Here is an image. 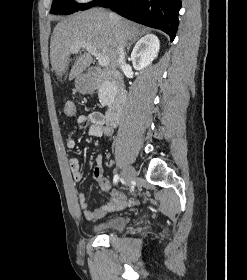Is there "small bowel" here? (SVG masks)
Segmentation results:
<instances>
[{"mask_svg": "<svg viewBox=\"0 0 247 280\" xmlns=\"http://www.w3.org/2000/svg\"><path fill=\"white\" fill-rule=\"evenodd\" d=\"M74 123L79 127L87 129L89 135L94 137L111 136L113 134L112 128L108 126L104 114L101 112H90L88 114L79 115L74 120ZM76 146V139L73 134H70L66 140V147L73 149ZM70 169L74 181L81 182L84 178L83 169L75 156H71ZM96 166L93 170L94 179L97 181L102 191L108 192L109 197L99 207L90 209L89 204L84 193H78L77 199L79 206L83 212L85 219L91 221L104 217L110 212L123 209L133 201L128 202L126 198L118 191L111 189L110 181L103 175L102 156L96 157Z\"/></svg>", "mask_w": 247, "mask_h": 280, "instance_id": "obj_1", "label": "small bowel"}]
</instances>
